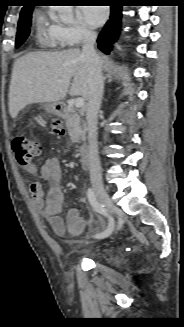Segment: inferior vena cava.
Wrapping results in <instances>:
<instances>
[{"label":"inferior vena cava","instance_id":"602c4592","mask_svg":"<svg viewBox=\"0 0 184 327\" xmlns=\"http://www.w3.org/2000/svg\"><path fill=\"white\" fill-rule=\"evenodd\" d=\"M96 38L97 33L95 31H84L82 56L88 64L90 73L89 96L86 111L90 180L92 182H101L102 170L98 156L97 117L101 107L104 83L101 61L94 49Z\"/></svg>","mask_w":184,"mask_h":327}]
</instances>
